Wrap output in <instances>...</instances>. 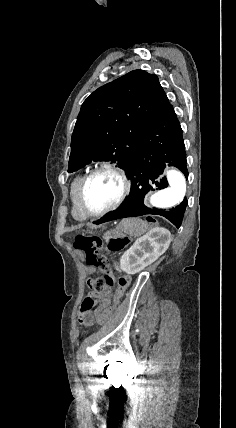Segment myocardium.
<instances>
[{
	"mask_svg": "<svg viewBox=\"0 0 236 428\" xmlns=\"http://www.w3.org/2000/svg\"><path fill=\"white\" fill-rule=\"evenodd\" d=\"M102 173H111L115 176H117L121 183H122V192L119 196V198L117 199V201L110 205L109 207L99 210V211H95L92 210L85 199V189L86 186L88 184V182L95 177L98 174H102ZM132 189V182L129 178V175L127 173V171L114 163H103L97 167H95L94 169H92L91 171H89L82 179L80 186H79V191H78V196H79V202L80 205L82 207V209L84 210V212L88 215V216H93V217H97V216H103L107 213L113 212L115 210H117L126 200V198L129 196L130 192Z\"/></svg>",
	"mask_w": 236,
	"mask_h": 428,
	"instance_id": "myocardium-1",
	"label": "myocardium"
}]
</instances>
